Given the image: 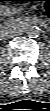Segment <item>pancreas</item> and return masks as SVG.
<instances>
[{
  "label": "pancreas",
  "mask_w": 50,
  "mask_h": 111,
  "mask_svg": "<svg viewBox=\"0 0 50 111\" xmlns=\"http://www.w3.org/2000/svg\"><path fill=\"white\" fill-rule=\"evenodd\" d=\"M16 23H17V20L9 19L4 22V27H12V26L16 25Z\"/></svg>",
  "instance_id": "cf45deb5"
}]
</instances>
